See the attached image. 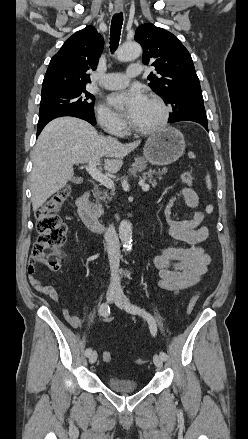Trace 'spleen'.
Returning a JSON list of instances; mask_svg holds the SVG:
<instances>
[{"mask_svg":"<svg viewBox=\"0 0 248 439\" xmlns=\"http://www.w3.org/2000/svg\"><path fill=\"white\" fill-rule=\"evenodd\" d=\"M205 179H206V185H207V188H208L209 190H211V187H212V186H211L210 175L207 174V176H206ZM212 209H213L212 206H208V207H207V211H209V212L212 211Z\"/></svg>","mask_w":248,"mask_h":439,"instance_id":"obj_1","label":"spleen"}]
</instances>
